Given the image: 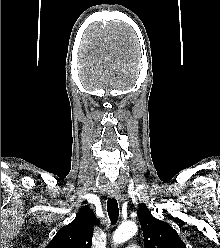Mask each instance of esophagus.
Here are the masks:
<instances>
[{
	"label": "esophagus",
	"instance_id": "1",
	"mask_svg": "<svg viewBox=\"0 0 220 248\" xmlns=\"http://www.w3.org/2000/svg\"><path fill=\"white\" fill-rule=\"evenodd\" d=\"M108 195L111 198H120V191H119L118 187H116L114 185L109 186Z\"/></svg>",
	"mask_w": 220,
	"mask_h": 248
}]
</instances>
